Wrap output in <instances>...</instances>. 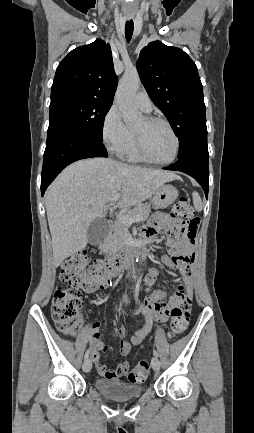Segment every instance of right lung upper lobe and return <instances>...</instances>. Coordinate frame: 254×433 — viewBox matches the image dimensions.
Returning a JSON list of instances; mask_svg holds the SVG:
<instances>
[{
	"instance_id": "1",
	"label": "right lung upper lobe",
	"mask_w": 254,
	"mask_h": 433,
	"mask_svg": "<svg viewBox=\"0 0 254 433\" xmlns=\"http://www.w3.org/2000/svg\"><path fill=\"white\" fill-rule=\"evenodd\" d=\"M117 87L111 48L97 39L72 50L58 65L51 104L64 100H95L112 104Z\"/></svg>"
}]
</instances>
